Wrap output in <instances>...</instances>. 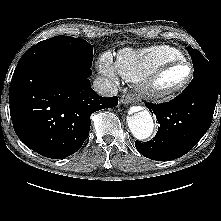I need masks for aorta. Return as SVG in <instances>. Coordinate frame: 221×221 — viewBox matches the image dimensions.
Instances as JSON below:
<instances>
[{
  "label": "aorta",
  "instance_id": "1",
  "mask_svg": "<svg viewBox=\"0 0 221 221\" xmlns=\"http://www.w3.org/2000/svg\"><path fill=\"white\" fill-rule=\"evenodd\" d=\"M127 123L131 133L138 140L147 139L153 133V118L146 109L128 116Z\"/></svg>",
  "mask_w": 221,
  "mask_h": 221
}]
</instances>
